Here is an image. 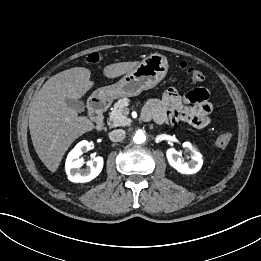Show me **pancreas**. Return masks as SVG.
<instances>
[{"label": "pancreas", "mask_w": 261, "mask_h": 261, "mask_svg": "<svg viewBox=\"0 0 261 261\" xmlns=\"http://www.w3.org/2000/svg\"><path fill=\"white\" fill-rule=\"evenodd\" d=\"M129 99L122 98L118 100L109 114V121L111 127L126 126L130 123V119L127 117L129 109L127 108Z\"/></svg>", "instance_id": "cf45deb5"}]
</instances>
